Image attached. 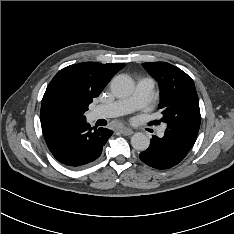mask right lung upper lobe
<instances>
[{
    "label": "right lung upper lobe",
    "mask_w": 234,
    "mask_h": 234,
    "mask_svg": "<svg viewBox=\"0 0 234 234\" xmlns=\"http://www.w3.org/2000/svg\"><path fill=\"white\" fill-rule=\"evenodd\" d=\"M125 65L85 62L60 70L49 83L42 102L62 98L73 105L87 109L93 98L98 97L110 79Z\"/></svg>",
    "instance_id": "obj_1"
}]
</instances>
